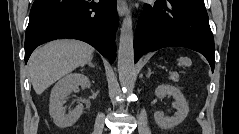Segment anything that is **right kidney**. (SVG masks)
<instances>
[{"instance_id": "1", "label": "right kidney", "mask_w": 239, "mask_h": 134, "mask_svg": "<svg viewBox=\"0 0 239 134\" xmlns=\"http://www.w3.org/2000/svg\"><path fill=\"white\" fill-rule=\"evenodd\" d=\"M82 85L90 88L88 77L81 73H71L64 76L53 87L50 95L49 113L54 123L60 128L72 126L83 113V105H77L68 114H65L63 104L68 95Z\"/></svg>"}]
</instances>
